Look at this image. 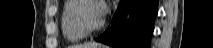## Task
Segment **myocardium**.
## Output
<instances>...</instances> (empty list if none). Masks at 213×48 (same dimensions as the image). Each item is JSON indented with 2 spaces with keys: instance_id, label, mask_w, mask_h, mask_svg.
Listing matches in <instances>:
<instances>
[{
  "instance_id": "myocardium-1",
  "label": "myocardium",
  "mask_w": 213,
  "mask_h": 48,
  "mask_svg": "<svg viewBox=\"0 0 213 48\" xmlns=\"http://www.w3.org/2000/svg\"><path fill=\"white\" fill-rule=\"evenodd\" d=\"M91 2L95 3V1H93V0H78L77 4L73 10V18H74L76 25L86 35L100 31L104 25V19H102V17H101L100 22L95 26H88L85 23L82 15H81V10L87 3H91Z\"/></svg>"
}]
</instances>
